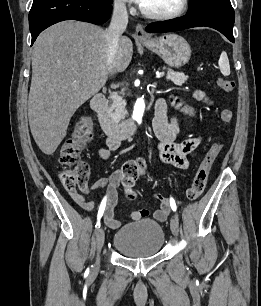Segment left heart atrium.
<instances>
[{"label":"left heart atrium","mask_w":261,"mask_h":306,"mask_svg":"<svg viewBox=\"0 0 261 306\" xmlns=\"http://www.w3.org/2000/svg\"><path fill=\"white\" fill-rule=\"evenodd\" d=\"M129 1L142 5L145 0H129Z\"/></svg>","instance_id":"obj_1"}]
</instances>
